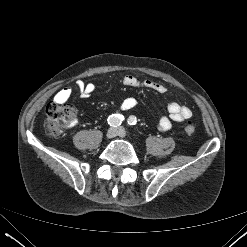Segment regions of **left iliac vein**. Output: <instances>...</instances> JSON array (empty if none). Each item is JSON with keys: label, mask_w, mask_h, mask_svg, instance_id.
Masks as SVG:
<instances>
[{"label": "left iliac vein", "mask_w": 247, "mask_h": 247, "mask_svg": "<svg viewBox=\"0 0 247 247\" xmlns=\"http://www.w3.org/2000/svg\"><path fill=\"white\" fill-rule=\"evenodd\" d=\"M117 136L122 137V138L126 137V131L122 127L118 128Z\"/></svg>", "instance_id": "1"}]
</instances>
